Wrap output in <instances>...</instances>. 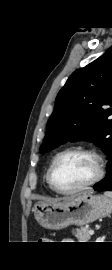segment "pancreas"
Returning <instances> with one entry per match:
<instances>
[{"mask_svg": "<svg viewBox=\"0 0 112 270\" xmlns=\"http://www.w3.org/2000/svg\"><path fill=\"white\" fill-rule=\"evenodd\" d=\"M72 233L78 239V242H88L90 239L89 229L87 227L74 229Z\"/></svg>", "mask_w": 112, "mask_h": 270, "instance_id": "cf45deb5", "label": "pancreas"}]
</instances>
